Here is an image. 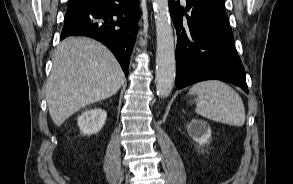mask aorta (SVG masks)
<instances>
[{"label":"aorta","mask_w":293,"mask_h":184,"mask_svg":"<svg viewBox=\"0 0 293 184\" xmlns=\"http://www.w3.org/2000/svg\"><path fill=\"white\" fill-rule=\"evenodd\" d=\"M156 23V91L159 97H167L172 91L175 74V45L170 22L168 0H153Z\"/></svg>","instance_id":"762f6f07"}]
</instances>
